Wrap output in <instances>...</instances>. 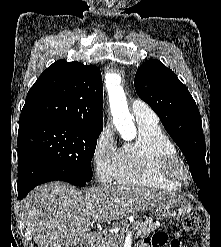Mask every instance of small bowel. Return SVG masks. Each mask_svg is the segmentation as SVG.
<instances>
[{"mask_svg":"<svg viewBox=\"0 0 221 247\" xmlns=\"http://www.w3.org/2000/svg\"><path fill=\"white\" fill-rule=\"evenodd\" d=\"M138 247H153L152 244L147 241L138 245Z\"/></svg>","mask_w":221,"mask_h":247,"instance_id":"1","label":"small bowel"}]
</instances>
